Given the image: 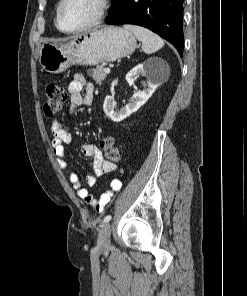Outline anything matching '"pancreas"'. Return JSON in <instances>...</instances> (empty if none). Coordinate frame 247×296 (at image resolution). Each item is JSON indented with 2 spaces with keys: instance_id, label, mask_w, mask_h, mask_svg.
Listing matches in <instances>:
<instances>
[{
  "instance_id": "pancreas-1",
  "label": "pancreas",
  "mask_w": 247,
  "mask_h": 296,
  "mask_svg": "<svg viewBox=\"0 0 247 296\" xmlns=\"http://www.w3.org/2000/svg\"><path fill=\"white\" fill-rule=\"evenodd\" d=\"M104 65H98L92 70L88 71V75L91 76L96 83L101 84L106 78V73L104 72Z\"/></svg>"
}]
</instances>
